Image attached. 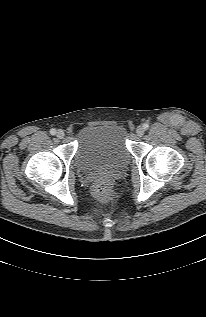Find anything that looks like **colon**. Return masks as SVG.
Instances as JSON below:
<instances>
[{
    "label": "colon",
    "mask_w": 206,
    "mask_h": 317,
    "mask_svg": "<svg viewBox=\"0 0 206 317\" xmlns=\"http://www.w3.org/2000/svg\"><path fill=\"white\" fill-rule=\"evenodd\" d=\"M92 193L97 199L101 201L112 200L115 196L112 181L108 178L97 179L93 184Z\"/></svg>",
    "instance_id": "1"
}]
</instances>
